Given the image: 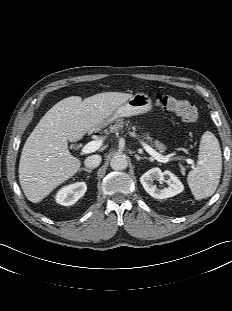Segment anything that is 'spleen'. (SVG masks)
Masks as SVG:
<instances>
[{
  "label": "spleen",
  "mask_w": 232,
  "mask_h": 311,
  "mask_svg": "<svg viewBox=\"0 0 232 311\" xmlns=\"http://www.w3.org/2000/svg\"><path fill=\"white\" fill-rule=\"evenodd\" d=\"M222 172V154L215 135L206 131L200 141L197 166L191 170L187 182L196 200L212 196Z\"/></svg>",
  "instance_id": "1"
}]
</instances>
